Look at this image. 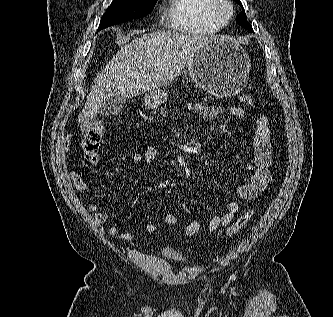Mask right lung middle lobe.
<instances>
[{
    "instance_id": "dd1d6c3e",
    "label": "right lung middle lobe",
    "mask_w": 333,
    "mask_h": 317,
    "mask_svg": "<svg viewBox=\"0 0 333 317\" xmlns=\"http://www.w3.org/2000/svg\"><path fill=\"white\" fill-rule=\"evenodd\" d=\"M157 0H113L101 18L98 30L148 15Z\"/></svg>"
}]
</instances>
